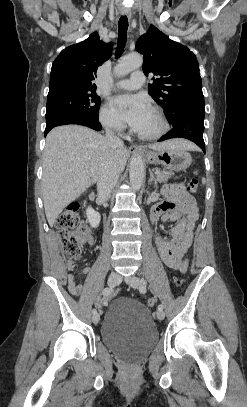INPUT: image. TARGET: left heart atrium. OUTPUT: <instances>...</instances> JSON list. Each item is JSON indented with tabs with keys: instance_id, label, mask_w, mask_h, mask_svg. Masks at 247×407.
Returning a JSON list of instances; mask_svg holds the SVG:
<instances>
[{
	"instance_id": "left-heart-atrium-1",
	"label": "left heart atrium",
	"mask_w": 247,
	"mask_h": 407,
	"mask_svg": "<svg viewBox=\"0 0 247 407\" xmlns=\"http://www.w3.org/2000/svg\"><path fill=\"white\" fill-rule=\"evenodd\" d=\"M112 106L119 117L134 129L149 111L146 100L140 95L117 96L112 100Z\"/></svg>"
}]
</instances>
